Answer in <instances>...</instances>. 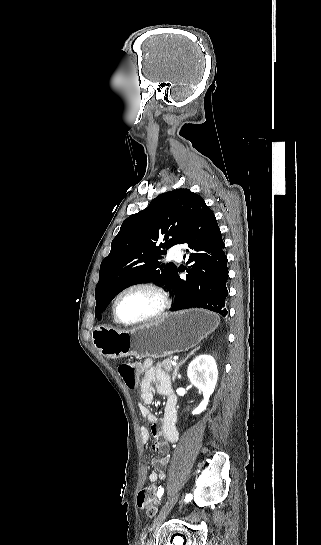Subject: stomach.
<instances>
[{
	"mask_svg": "<svg viewBox=\"0 0 321 545\" xmlns=\"http://www.w3.org/2000/svg\"><path fill=\"white\" fill-rule=\"evenodd\" d=\"M218 315L203 309H187L161 317L131 331L98 325L92 341L103 357H168L187 351L218 327Z\"/></svg>",
	"mask_w": 321,
	"mask_h": 545,
	"instance_id": "0dacf381",
	"label": "stomach"
}]
</instances>
